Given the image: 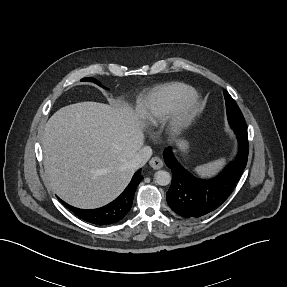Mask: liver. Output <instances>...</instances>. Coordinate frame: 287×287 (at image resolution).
<instances>
[{
    "label": "liver",
    "mask_w": 287,
    "mask_h": 287,
    "mask_svg": "<svg viewBox=\"0 0 287 287\" xmlns=\"http://www.w3.org/2000/svg\"><path fill=\"white\" fill-rule=\"evenodd\" d=\"M146 114L140 100L136 112L97 102L55 112L42 136L44 167L55 193L83 209L114 200L136 170L131 162L144 144Z\"/></svg>",
    "instance_id": "1"
}]
</instances>
